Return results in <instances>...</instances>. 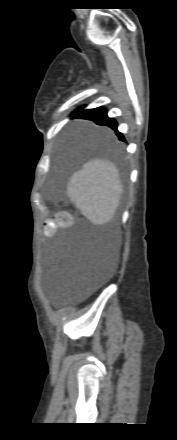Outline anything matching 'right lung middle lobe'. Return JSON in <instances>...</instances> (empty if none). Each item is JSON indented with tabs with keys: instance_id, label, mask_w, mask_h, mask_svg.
Instances as JSON below:
<instances>
[{
	"instance_id": "1",
	"label": "right lung middle lobe",
	"mask_w": 177,
	"mask_h": 440,
	"mask_svg": "<svg viewBox=\"0 0 177 440\" xmlns=\"http://www.w3.org/2000/svg\"><path fill=\"white\" fill-rule=\"evenodd\" d=\"M87 143L90 145L93 144L103 145L105 144V140L103 139L101 133L94 132L88 136Z\"/></svg>"
}]
</instances>
